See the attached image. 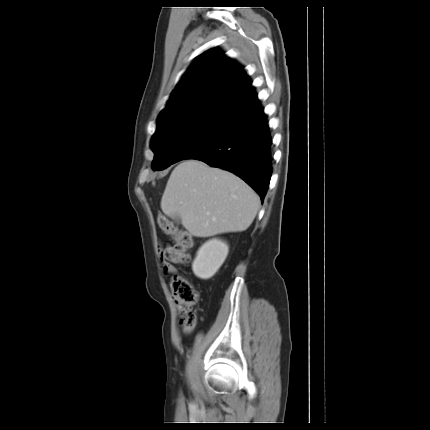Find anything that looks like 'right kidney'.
Listing matches in <instances>:
<instances>
[{
	"label": "right kidney",
	"instance_id": "right-kidney-1",
	"mask_svg": "<svg viewBox=\"0 0 430 430\" xmlns=\"http://www.w3.org/2000/svg\"><path fill=\"white\" fill-rule=\"evenodd\" d=\"M229 247L226 242L219 239H210L198 250L192 264L196 277L207 280L213 277L224 263Z\"/></svg>",
	"mask_w": 430,
	"mask_h": 430
}]
</instances>
